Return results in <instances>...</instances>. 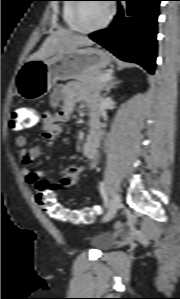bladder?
I'll list each match as a JSON object with an SVG mask.
<instances>
[{
	"label": "bladder",
	"mask_w": 180,
	"mask_h": 299,
	"mask_svg": "<svg viewBox=\"0 0 180 299\" xmlns=\"http://www.w3.org/2000/svg\"><path fill=\"white\" fill-rule=\"evenodd\" d=\"M114 242L113 236L108 233L91 234L87 238L89 245L101 251L110 249Z\"/></svg>",
	"instance_id": "1"
}]
</instances>
